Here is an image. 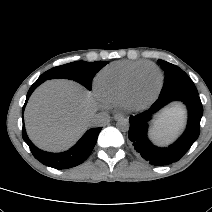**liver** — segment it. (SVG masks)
<instances>
[{
    "instance_id": "obj_1",
    "label": "liver",
    "mask_w": 212,
    "mask_h": 212,
    "mask_svg": "<svg viewBox=\"0 0 212 212\" xmlns=\"http://www.w3.org/2000/svg\"><path fill=\"white\" fill-rule=\"evenodd\" d=\"M97 105L91 93L68 80H50L38 87L25 110L26 129L40 148L62 151L71 147L91 126ZM178 108L164 111L156 120L154 132L173 136L183 125Z\"/></svg>"
}]
</instances>
